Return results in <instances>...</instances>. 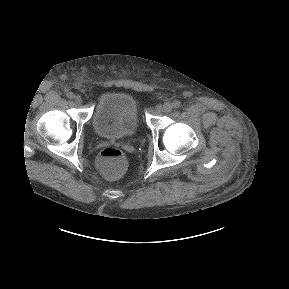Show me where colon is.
Returning a JSON list of instances; mask_svg holds the SVG:
<instances>
[{
    "mask_svg": "<svg viewBox=\"0 0 289 289\" xmlns=\"http://www.w3.org/2000/svg\"><path fill=\"white\" fill-rule=\"evenodd\" d=\"M127 165L124 153L115 147L104 148L98 158L97 167L107 178H117L123 174Z\"/></svg>",
    "mask_w": 289,
    "mask_h": 289,
    "instance_id": "5ec220e1",
    "label": "colon"
}]
</instances>
